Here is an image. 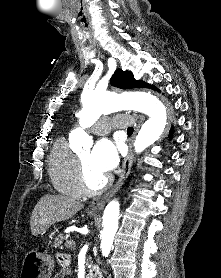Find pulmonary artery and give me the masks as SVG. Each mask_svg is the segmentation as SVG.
I'll return each instance as SVG.
<instances>
[{
	"instance_id": "obj_1",
	"label": "pulmonary artery",
	"mask_w": 221,
	"mask_h": 278,
	"mask_svg": "<svg viewBox=\"0 0 221 278\" xmlns=\"http://www.w3.org/2000/svg\"><path fill=\"white\" fill-rule=\"evenodd\" d=\"M133 121L134 120L131 116H121L113 120L104 117L97 124L93 125L91 130L97 135H102L107 133L112 128V126L126 128L127 126L131 125Z\"/></svg>"
}]
</instances>
